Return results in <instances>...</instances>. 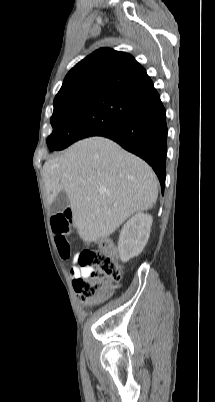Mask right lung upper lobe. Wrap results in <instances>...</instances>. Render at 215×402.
<instances>
[{
    "instance_id": "obj_1",
    "label": "right lung upper lobe",
    "mask_w": 215,
    "mask_h": 402,
    "mask_svg": "<svg viewBox=\"0 0 215 402\" xmlns=\"http://www.w3.org/2000/svg\"><path fill=\"white\" fill-rule=\"evenodd\" d=\"M93 93L113 94L139 104L158 95L133 56L110 48L98 49L76 64L55 99Z\"/></svg>"
}]
</instances>
